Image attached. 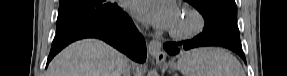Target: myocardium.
Returning a JSON list of instances; mask_svg holds the SVG:
<instances>
[{
	"instance_id": "f54148a6",
	"label": "myocardium",
	"mask_w": 287,
	"mask_h": 76,
	"mask_svg": "<svg viewBox=\"0 0 287 76\" xmlns=\"http://www.w3.org/2000/svg\"><path fill=\"white\" fill-rule=\"evenodd\" d=\"M181 15H187L191 18V24L184 29L170 30V35L174 39L185 40L194 37L202 31L205 26V18L203 14L193 7H183L181 10Z\"/></svg>"
}]
</instances>
